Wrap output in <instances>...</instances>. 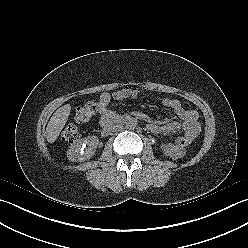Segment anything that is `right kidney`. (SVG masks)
<instances>
[{"label":"right kidney","instance_id":"right-kidney-1","mask_svg":"<svg viewBox=\"0 0 248 248\" xmlns=\"http://www.w3.org/2000/svg\"><path fill=\"white\" fill-rule=\"evenodd\" d=\"M98 143L99 139L94 135L77 140L69 147L67 157L70 161L88 160L95 154Z\"/></svg>","mask_w":248,"mask_h":248}]
</instances>
